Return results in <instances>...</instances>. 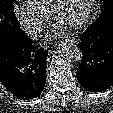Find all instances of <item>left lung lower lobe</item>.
Here are the masks:
<instances>
[{
    "instance_id": "obj_1",
    "label": "left lung lower lobe",
    "mask_w": 113,
    "mask_h": 113,
    "mask_svg": "<svg viewBox=\"0 0 113 113\" xmlns=\"http://www.w3.org/2000/svg\"><path fill=\"white\" fill-rule=\"evenodd\" d=\"M82 59L76 76L91 92H102L113 85V22L89 27L80 35Z\"/></svg>"
}]
</instances>
